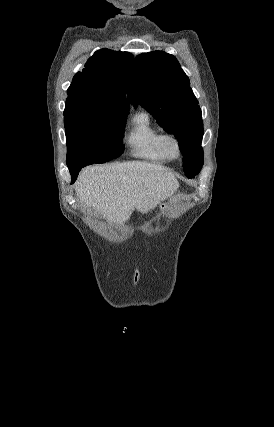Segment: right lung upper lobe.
<instances>
[{
	"mask_svg": "<svg viewBox=\"0 0 274 427\" xmlns=\"http://www.w3.org/2000/svg\"><path fill=\"white\" fill-rule=\"evenodd\" d=\"M133 55L101 49L94 53L82 72L75 74L67 90L65 110L89 105L130 107L126 98V78Z\"/></svg>",
	"mask_w": 274,
	"mask_h": 427,
	"instance_id": "1",
	"label": "right lung upper lobe"
}]
</instances>
